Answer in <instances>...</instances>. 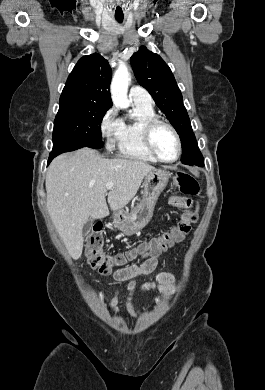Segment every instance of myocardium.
I'll list each match as a JSON object with an SVG mask.
<instances>
[{
    "label": "myocardium",
    "mask_w": 265,
    "mask_h": 390,
    "mask_svg": "<svg viewBox=\"0 0 265 390\" xmlns=\"http://www.w3.org/2000/svg\"><path fill=\"white\" fill-rule=\"evenodd\" d=\"M159 126H165L167 127L173 134L176 143H177V154L174 159L166 160L164 159L156 150L154 143H153V134L157 127ZM142 138L143 143L147 149V151L155 157V159L162 163H174L176 162L182 153V142L180 139V136L176 130V128L169 122L162 120L158 117H154L150 120H148L142 128Z\"/></svg>",
    "instance_id": "1"
}]
</instances>
